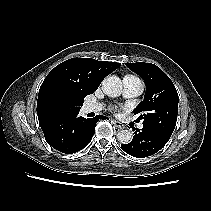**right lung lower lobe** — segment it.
<instances>
[{
  "label": "right lung lower lobe",
  "mask_w": 211,
  "mask_h": 211,
  "mask_svg": "<svg viewBox=\"0 0 211 211\" xmlns=\"http://www.w3.org/2000/svg\"><path fill=\"white\" fill-rule=\"evenodd\" d=\"M79 111L61 110L39 121L47 143L54 149L71 154L83 149L92 139L99 119L97 115L86 119L78 116Z\"/></svg>",
  "instance_id": "obj_1"
}]
</instances>
